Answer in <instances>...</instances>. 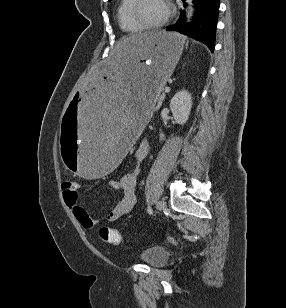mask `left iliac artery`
<instances>
[{
    "label": "left iliac artery",
    "instance_id": "left-iliac-artery-1",
    "mask_svg": "<svg viewBox=\"0 0 286 308\" xmlns=\"http://www.w3.org/2000/svg\"><path fill=\"white\" fill-rule=\"evenodd\" d=\"M148 213L149 214H153V210H152V208L150 206H148Z\"/></svg>",
    "mask_w": 286,
    "mask_h": 308
}]
</instances>
